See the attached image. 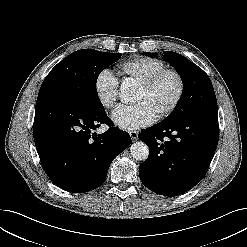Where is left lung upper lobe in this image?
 <instances>
[{
    "label": "left lung upper lobe",
    "instance_id": "5c2ea615",
    "mask_svg": "<svg viewBox=\"0 0 247 247\" xmlns=\"http://www.w3.org/2000/svg\"><path fill=\"white\" fill-rule=\"evenodd\" d=\"M153 57L154 53L145 52ZM164 59L175 67L184 84L182 97L174 111L165 119L171 121L198 112H217V100L208 75L182 55L164 51Z\"/></svg>",
    "mask_w": 247,
    "mask_h": 247
}]
</instances>
